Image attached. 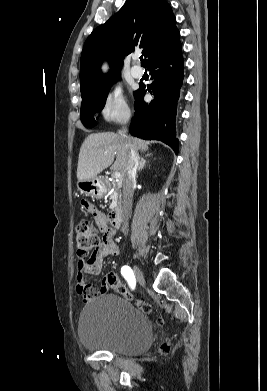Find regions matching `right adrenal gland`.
Returning <instances> with one entry per match:
<instances>
[{"label": "right adrenal gland", "instance_id": "right-adrenal-gland-1", "mask_svg": "<svg viewBox=\"0 0 267 391\" xmlns=\"http://www.w3.org/2000/svg\"><path fill=\"white\" fill-rule=\"evenodd\" d=\"M146 160L142 157L140 158V162H139V165H138V171H141L145 166H146Z\"/></svg>", "mask_w": 267, "mask_h": 391}]
</instances>
